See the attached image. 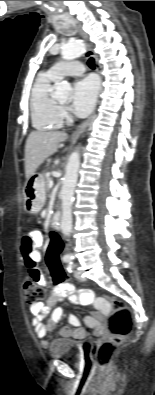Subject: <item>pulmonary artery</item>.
<instances>
[{"mask_svg":"<svg viewBox=\"0 0 155 395\" xmlns=\"http://www.w3.org/2000/svg\"><path fill=\"white\" fill-rule=\"evenodd\" d=\"M85 71L84 65L78 61L59 62L48 71L53 77L60 79L65 76L81 75Z\"/></svg>","mask_w":155,"mask_h":395,"instance_id":"e3ab8cb5","label":"pulmonary artery"}]
</instances>
